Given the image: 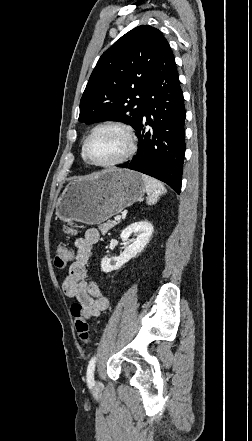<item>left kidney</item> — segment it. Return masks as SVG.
Returning a JSON list of instances; mask_svg holds the SVG:
<instances>
[{"label":"left kidney","mask_w":252,"mask_h":441,"mask_svg":"<svg viewBox=\"0 0 252 441\" xmlns=\"http://www.w3.org/2000/svg\"><path fill=\"white\" fill-rule=\"evenodd\" d=\"M153 233V226L148 221L135 222L126 227L121 233V239L126 244L120 256L113 259L107 256L101 260V269L108 273L120 269L125 263L136 257L148 244ZM134 234L136 238L130 239ZM113 262V263H112Z\"/></svg>","instance_id":"1"}]
</instances>
